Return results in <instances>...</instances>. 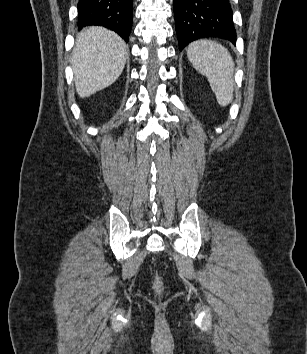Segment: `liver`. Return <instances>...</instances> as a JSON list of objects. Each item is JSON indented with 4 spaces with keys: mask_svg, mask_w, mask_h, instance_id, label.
<instances>
[{
    "mask_svg": "<svg viewBox=\"0 0 307 354\" xmlns=\"http://www.w3.org/2000/svg\"><path fill=\"white\" fill-rule=\"evenodd\" d=\"M127 55L126 43L113 31L97 26L81 31L71 58L78 95L89 97L113 84L124 69Z\"/></svg>",
    "mask_w": 307,
    "mask_h": 354,
    "instance_id": "6515ba94",
    "label": "liver"
}]
</instances>
